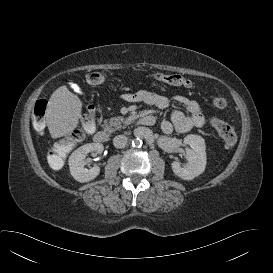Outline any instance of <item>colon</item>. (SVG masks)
Returning a JSON list of instances; mask_svg holds the SVG:
<instances>
[{
	"label": "colon",
	"instance_id": "5ec220e1",
	"mask_svg": "<svg viewBox=\"0 0 273 273\" xmlns=\"http://www.w3.org/2000/svg\"><path fill=\"white\" fill-rule=\"evenodd\" d=\"M106 77L107 75L103 71L99 70L90 71L86 76L87 81L93 85L102 84L105 81ZM153 78L157 82L173 86L189 87L191 85L190 80L186 79L185 77L179 74H165L157 72L153 74ZM213 105L216 108L222 109L226 107L227 102L225 98L218 96L213 99ZM46 112L47 100L39 99L38 101H36L33 108L32 119L34 127L37 131H43L46 127L45 120ZM96 122H97L96 108L93 104H89L87 106V111L82 115L80 119L79 127L67 137L64 144L57 146L55 150L52 152L50 160L51 166L54 168H60L61 160L54 156L57 154L64 153L68 148L80 142L83 139L86 132H92L96 128ZM210 124L213 128L216 129V131L222 137L227 146H233L236 144L237 135L232 126L218 118H211Z\"/></svg>",
	"mask_w": 273,
	"mask_h": 273
}]
</instances>
